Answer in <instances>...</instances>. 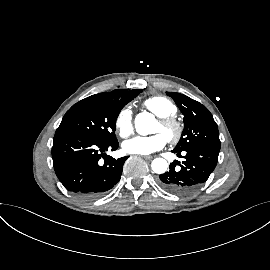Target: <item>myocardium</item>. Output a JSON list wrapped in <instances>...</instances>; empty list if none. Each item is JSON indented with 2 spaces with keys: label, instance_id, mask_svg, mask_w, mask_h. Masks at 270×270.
I'll return each instance as SVG.
<instances>
[{
  "label": "myocardium",
  "instance_id": "myocardium-1",
  "mask_svg": "<svg viewBox=\"0 0 270 270\" xmlns=\"http://www.w3.org/2000/svg\"><path fill=\"white\" fill-rule=\"evenodd\" d=\"M158 123L165 129L170 131L167 140L175 144L180 141L184 132V125L175 116L159 118Z\"/></svg>",
  "mask_w": 270,
  "mask_h": 270
}]
</instances>
